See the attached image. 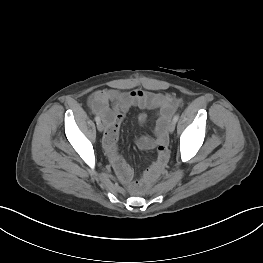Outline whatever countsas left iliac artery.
<instances>
[{"label":"left iliac artery","instance_id":"1","mask_svg":"<svg viewBox=\"0 0 263 263\" xmlns=\"http://www.w3.org/2000/svg\"><path fill=\"white\" fill-rule=\"evenodd\" d=\"M178 119H179V114H176V115L174 116L173 120H174L175 122H177Z\"/></svg>","mask_w":263,"mask_h":263}]
</instances>
